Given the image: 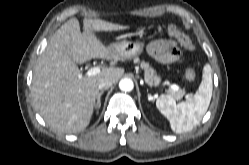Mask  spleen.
<instances>
[{
  "mask_svg": "<svg viewBox=\"0 0 249 165\" xmlns=\"http://www.w3.org/2000/svg\"><path fill=\"white\" fill-rule=\"evenodd\" d=\"M212 70L209 64L203 67L201 84L193 97L176 104L171 95H161L156 100L160 112L170 121L176 133L192 130L205 115L212 97Z\"/></svg>",
  "mask_w": 249,
  "mask_h": 165,
  "instance_id": "1",
  "label": "spleen"
}]
</instances>
